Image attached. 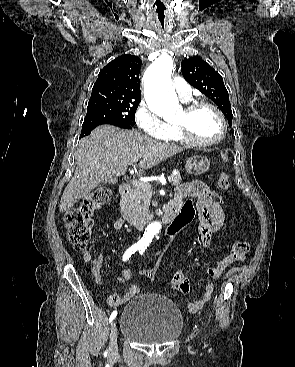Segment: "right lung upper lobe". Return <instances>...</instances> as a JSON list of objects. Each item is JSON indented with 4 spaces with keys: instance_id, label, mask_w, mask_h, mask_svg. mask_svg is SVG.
<instances>
[{
    "instance_id": "right-lung-upper-lobe-1",
    "label": "right lung upper lobe",
    "mask_w": 295,
    "mask_h": 367,
    "mask_svg": "<svg viewBox=\"0 0 295 367\" xmlns=\"http://www.w3.org/2000/svg\"><path fill=\"white\" fill-rule=\"evenodd\" d=\"M142 61L135 55H122L108 63L99 73L92 93L140 99L139 72Z\"/></svg>"
}]
</instances>
